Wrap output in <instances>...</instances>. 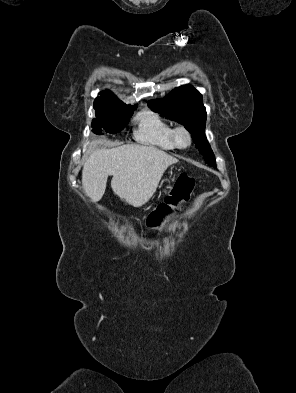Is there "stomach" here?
<instances>
[{"mask_svg": "<svg viewBox=\"0 0 296 393\" xmlns=\"http://www.w3.org/2000/svg\"><path fill=\"white\" fill-rule=\"evenodd\" d=\"M170 180L173 181V179L171 178V176H169V177L166 179V182L170 183ZM166 188H167V189H170L171 186L169 185V186H167Z\"/></svg>", "mask_w": 296, "mask_h": 393, "instance_id": "stomach-1", "label": "stomach"}]
</instances>
